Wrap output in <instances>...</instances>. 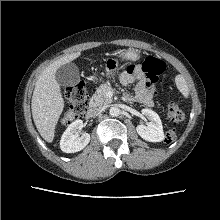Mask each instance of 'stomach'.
Listing matches in <instances>:
<instances>
[{
	"mask_svg": "<svg viewBox=\"0 0 220 220\" xmlns=\"http://www.w3.org/2000/svg\"><path fill=\"white\" fill-rule=\"evenodd\" d=\"M138 57V53L131 49L121 54L122 60L136 61Z\"/></svg>",
	"mask_w": 220,
	"mask_h": 220,
	"instance_id": "obj_1",
	"label": "stomach"
}]
</instances>
